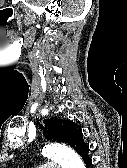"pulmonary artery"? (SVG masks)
<instances>
[{
    "label": "pulmonary artery",
    "instance_id": "e3ab8cb5",
    "mask_svg": "<svg viewBox=\"0 0 127 168\" xmlns=\"http://www.w3.org/2000/svg\"><path fill=\"white\" fill-rule=\"evenodd\" d=\"M37 168H61V166L58 163H47L44 165H40Z\"/></svg>",
    "mask_w": 127,
    "mask_h": 168
}]
</instances>
